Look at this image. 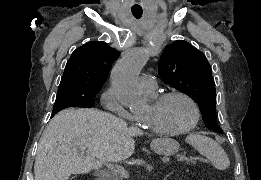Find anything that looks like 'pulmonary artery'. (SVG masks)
I'll return each mask as SVG.
<instances>
[{
    "label": "pulmonary artery",
    "mask_w": 261,
    "mask_h": 180,
    "mask_svg": "<svg viewBox=\"0 0 261 180\" xmlns=\"http://www.w3.org/2000/svg\"><path fill=\"white\" fill-rule=\"evenodd\" d=\"M140 87L147 93H153L157 88V81L155 77L148 73H143L139 77Z\"/></svg>",
    "instance_id": "pulmonary-artery-1"
}]
</instances>
